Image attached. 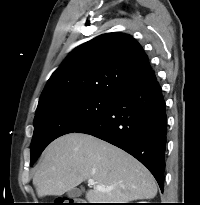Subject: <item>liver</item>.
Instances as JSON below:
<instances>
[{
	"mask_svg": "<svg viewBox=\"0 0 200 205\" xmlns=\"http://www.w3.org/2000/svg\"><path fill=\"white\" fill-rule=\"evenodd\" d=\"M111 187L86 193L89 203H128L152 199L157 185L149 170L134 157L94 136L69 133L44 151L33 177L38 197L61 196L85 180Z\"/></svg>",
	"mask_w": 200,
	"mask_h": 205,
	"instance_id": "6515ba94",
	"label": "liver"
}]
</instances>
